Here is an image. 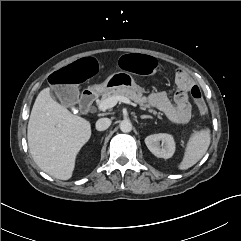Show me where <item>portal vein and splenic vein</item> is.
<instances>
[{
	"mask_svg": "<svg viewBox=\"0 0 241 241\" xmlns=\"http://www.w3.org/2000/svg\"><path fill=\"white\" fill-rule=\"evenodd\" d=\"M118 101L129 104V105H133L134 103L127 97L124 96H113V97H109L107 99H105L104 101H102L99 105H98V109L100 111H105L107 109H110L112 107H114Z\"/></svg>",
	"mask_w": 241,
	"mask_h": 241,
	"instance_id": "18ae733b",
	"label": "portal vein and splenic vein"
}]
</instances>
